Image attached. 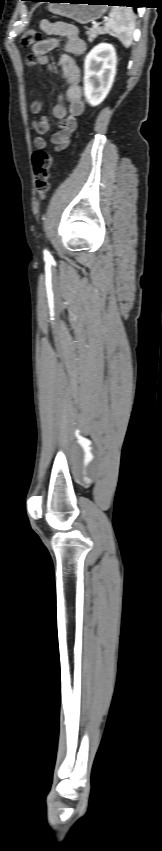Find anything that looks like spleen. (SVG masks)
<instances>
[{"mask_svg":"<svg viewBox=\"0 0 162 851\" xmlns=\"http://www.w3.org/2000/svg\"><path fill=\"white\" fill-rule=\"evenodd\" d=\"M135 20L133 10L127 7H112L104 31L118 38L124 47L132 43Z\"/></svg>","mask_w":162,"mask_h":851,"instance_id":"1","label":"spleen"}]
</instances>
